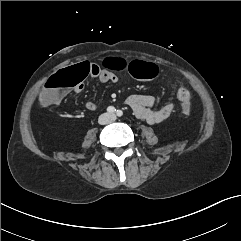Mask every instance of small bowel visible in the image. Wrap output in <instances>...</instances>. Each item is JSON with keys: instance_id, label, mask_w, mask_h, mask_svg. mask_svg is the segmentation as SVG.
Wrapping results in <instances>:
<instances>
[{"instance_id": "1", "label": "small bowel", "mask_w": 241, "mask_h": 241, "mask_svg": "<svg viewBox=\"0 0 241 241\" xmlns=\"http://www.w3.org/2000/svg\"><path fill=\"white\" fill-rule=\"evenodd\" d=\"M87 63L90 66V73L88 76L97 78L101 83L115 84L118 82L119 78L116 73L102 68L97 63ZM83 88V84L80 83L78 86L75 87V92L81 93L83 91ZM182 89L185 88H179V90ZM124 103L133 110L137 118L145 120L150 124H157L166 120L173 111L172 103H167L159 109H154L155 98L151 95L145 94L130 95L125 98ZM86 108L89 110H95L97 108V104L93 101H88L86 103Z\"/></svg>"}]
</instances>
